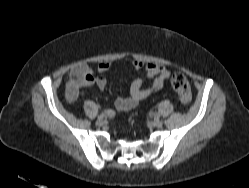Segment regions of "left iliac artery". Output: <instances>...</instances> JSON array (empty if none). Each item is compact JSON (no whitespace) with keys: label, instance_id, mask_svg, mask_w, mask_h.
I'll use <instances>...</instances> for the list:
<instances>
[{"label":"left iliac artery","instance_id":"44dca946","mask_svg":"<svg viewBox=\"0 0 249 188\" xmlns=\"http://www.w3.org/2000/svg\"><path fill=\"white\" fill-rule=\"evenodd\" d=\"M154 117H155V118H159V117H160V114H159V113H155V114H154Z\"/></svg>","mask_w":249,"mask_h":188}]
</instances>
